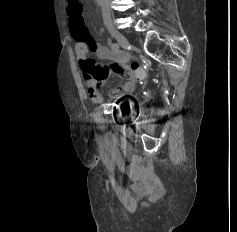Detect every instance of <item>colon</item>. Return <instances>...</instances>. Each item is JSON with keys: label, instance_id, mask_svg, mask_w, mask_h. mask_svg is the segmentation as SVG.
Masks as SVG:
<instances>
[{"label": "colon", "instance_id": "obj_1", "mask_svg": "<svg viewBox=\"0 0 237 232\" xmlns=\"http://www.w3.org/2000/svg\"><path fill=\"white\" fill-rule=\"evenodd\" d=\"M68 12L70 16L71 29L79 34H82L86 30V26L83 20V6L80 0H69ZM131 70L135 72L139 77L145 76V71L140 64L136 61L131 63Z\"/></svg>", "mask_w": 237, "mask_h": 232}]
</instances>
